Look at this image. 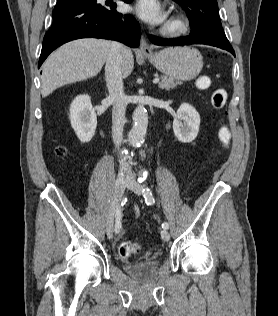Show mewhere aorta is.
Instances as JSON below:
<instances>
[{"label":"aorta","instance_id":"762f6f07","mask_svg":"<svg viewBox=\"0 0 278 316\" xmlns=\"http://www.w3.org/2000/svg\"><path fill=\"white\" fill-rule=\"evenodd\" d=\"M133 127L128 135L132 146L139 147L143 144L148 127V113L143 105H138L133 112Z\"/></svg>","mask_w":278,"mask_h":316}]
</instances>
